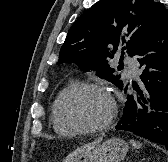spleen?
Instances as JSON below:
<instances>
[{
  "mask_svg": "<svg viewBox=\"0 0 168 162\" xmlns=\"http://www.w3.org/2000/svg\"><path fill=\"white\" fill-rule=\"evenodd\" d=\"M130 143L136 148H141L142 147V144L138 141L130 140Z\"/></svg>",
  "mask_w": 168,
  "mask_h": 162,
  "instance_id": "spleen-1",
  "label": "spleen"
}]
</instances>
